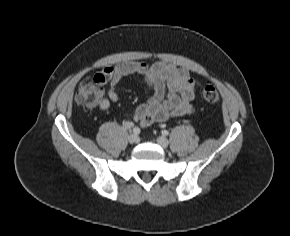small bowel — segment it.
<instances>
[{"mask_svg": "<svg viewBox=\"0 0 290 236\" xmlns=\"http://www.w3.org/2000/svg\"><path fill=\"white\" fill-rule=\"evenodd\" d=\"M132 75L141 76L151 90L150 98L133 112V122L145 127L170 118L185 116L194 111L193 100L199 81L187 70L164 61L124 62L104 68L94 76L103 80V84L108 83L109 86L106 94L102 89L95 107L104 111L111 103L118 102L120 99L118 87L121 81ZM132 121H126L125 127H131Z\"/></svg>", "mask_w": 290, "mask_h": 236, "instance_id": "obj_1", "label": "small bowel"}]
</instances>
